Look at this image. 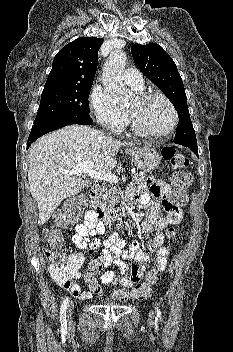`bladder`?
Instances as JSON below:
<instances>
[{
  "mask_svg": "<svg viewBox=\"0 0 233 352\" xmlns=\"http://www.w3.org/2000/svg\"><path fill=\"white\" fill-rule=\"evenodd\" d=\"M101 302H104V303H111V299L108 298V297H101Z\"/></svg>",
  "mask_w": 233,
  "mask_h": 352,
  "instance_id": "obj_1",
  "label": "bladder"
}]
</instances>
